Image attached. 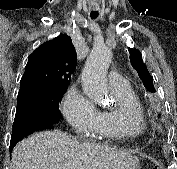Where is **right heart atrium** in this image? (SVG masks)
<instances>
[{"mask_svg": "<svg viewBox=\"0 0 177 169\" xmlns=\"http://www.w3.org/2000/svg\"><path fill=\"white\" fill-rule=\"evenodd\" d=\"M62 110L77 133L88 134L95 128L98 110L94 103L77 88L68 90L62 103Z\"/></svg>", "mask_w": 177, "mask_h": 169, "instance_id": "obj_1", "label": "right heart atrium"}]
</instances>
